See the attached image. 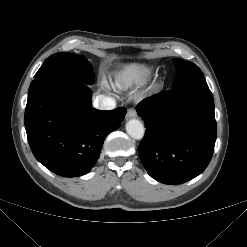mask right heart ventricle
<instances>
[{"label":"right heart ventricle","mask_w":247,"mask_h":247,"mask_svg":"<svg viewBox=\"0 0 247 247\" xmlns=\"http://www.w3.org/2000/svg\"><path fill=\"white\" fill-rule=\"evenodd\" d=\"M149 74L150 71L146 68L127 66L115 77L114 86L119 89L127 88L134 82L144 81Z\"/></svg>","instance_id":"obj_1"}]
</instances>
